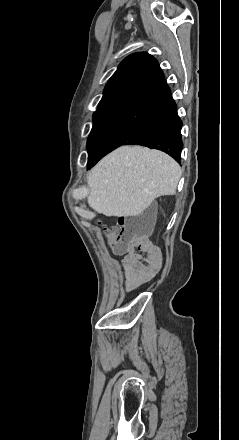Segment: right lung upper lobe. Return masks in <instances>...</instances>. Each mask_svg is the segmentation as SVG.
Returning <instances> with one entry per match:
<instances>
[{"mask_svg":"<svg viewBox=\"0 0 239 440\" xmlns=\"http://www.w3.org/2000/svg\"><path fill=\"white\" fill-rule=\"evenodd\" d=\"M164 74L155 58L145 52L126 57L109 79L100 104L116 99H134L159 84Z\"/></svg>","mask_w":239,"mask_h":440,"instance_id":"cb5924a9","label":"right lung upper lobe"}]
</instances>
